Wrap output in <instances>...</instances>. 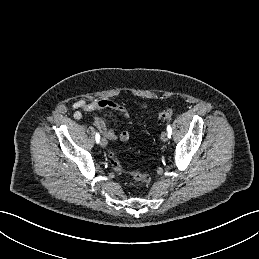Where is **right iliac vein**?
<instances>
[{"mask_svg":"<svg viewBox=\"0 0 259 259\" xmlns=\"http://www.w3.org/2000/svg\"><path fill=\"white\" fill-rule=\"evenodd\" d=\"M100 145H101L102 147H106V146H107V140H106L105 138H102V139L100 140Z\"/></svg>","mask_w":259,"mask_h":259,"instance_id":"1","label":"right iliac vein"}]
</instances>
